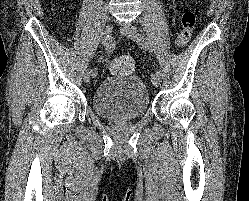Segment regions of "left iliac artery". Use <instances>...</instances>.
<instances>
[{
    "label": "left iliac artery",
    "instance_id": "obj_1",
    "mask_svg": "<svg viewBox=\"0 0 249 201\" xmlns=\"http://www.w3.org/2000/svg\"><path fill=\"white\" fill-rule=\"evenodd\" d=\"M138 43L141 45V47L145 50H150V42H149V39L146 38L145 36L143 35H139L138 38ZM156 73L158 75H162L161 71L160 70H157Z\"/></svg>",
    "mask_w": 249,
    "mask_h": 201
}]
</instances>
